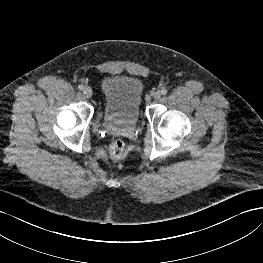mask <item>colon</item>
Instances as JSON below:
<instances>
[{
	"label": "colon",
	"instance_id": "colon-1",
	"mask_svg": "<svg viewBox=\"0 0 263 263\" xmlns=\"http://www.w3.org/2000/svg\"><path fill=\"white\" fill-rule=\"evenodd\" d=\"M125 151V144L122 140H115L110 145V156L113 160L120 159Z\"/></svg>",
	"mask_w": 263,
	"mask_h": 263
}]
</instances>
